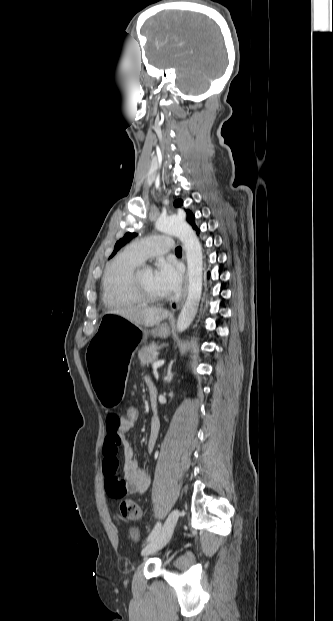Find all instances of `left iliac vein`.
I'll use <instances>...</instances> for the list:
<instances>
[{"label": "left iliac vein", "mask_w": 333, "mask_h": 621, "mask_svg": "<svg viewBox=\"0 0 333 621\" xmlns=\"http://www.w3.org/2000/svg\"><path fill=\"white\" fill-rule=\"evenodd\" d=\"M179 515L180 512L178 509H174L169 514L159 534L142 550L143 556H148L159 551L169 542L174 532Z\"/></svg>", "instance_id": "4c4485c4"}]
</instances>
